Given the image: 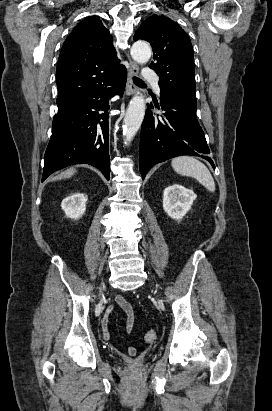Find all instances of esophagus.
Instances as JSON below:
<instances>
[{
	"label": "esophagus",
	"instance_id": "1",
	"mask_svg": "<svg viewBox=\"0 0 272 411\" xmlns=\"http://www.w3.org/2000/svg\"><path fill=\"white\" fill-rule=\"evenodd\" d=\"M139 73V67L136 63L130 60V67L128 71V77L126 82V95L131 96L136 92V85L133 82V77Z\"/></svg>",
	"mask_w": 272,
	"mask_h": 411
}]
</instances>
